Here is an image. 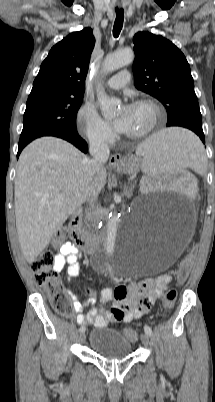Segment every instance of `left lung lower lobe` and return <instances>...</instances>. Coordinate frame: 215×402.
<instances>
[{"label": "left lung lower lobe", "instance_id": "left-lung-lower-lobe-1", "mask_svg": "<svg viewBox=\"0 0 215 402\" xmlns=\"http://www.w3.org/2000/svg\"><path fill=\"white\" fill-rule=\"evenodd\" d=\"M167 126H168V127H169V126H181V127L188 128V129L192 130L193 132H195V133L200 137V139L202 140V142L205 143V138H204L203 130L196 129V128H192V127H189V126H186V125H182V124H172V125H167Z\"/></svg>", "mask_w": 215, "mask_h": 402}]
</instances>
